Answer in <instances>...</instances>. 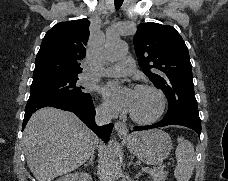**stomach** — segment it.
Listing matches in <instances>:
<instances>
[{
	"label": "stomach",
	"instance_id": "obj_1",
	"mask_svg": "<svg viewBox=\"0 0 228 181\" xmlns=\"http://www.w3.org/2000/svg\"><path fill=\"white\" fill-rule=\"evenodd\" d=\"M122 139H125L129 151L147 165H159L168 157L172 149L171 137L160 129L145 131V133H132Z\"/></svg>",
	"mask_w": 228,
	"mask_h": 181
}]
</instances>
